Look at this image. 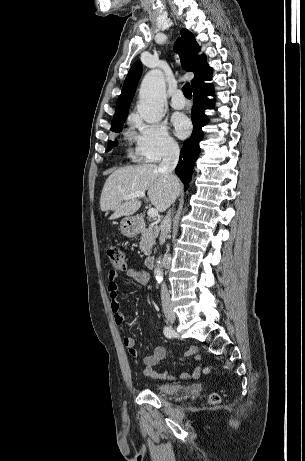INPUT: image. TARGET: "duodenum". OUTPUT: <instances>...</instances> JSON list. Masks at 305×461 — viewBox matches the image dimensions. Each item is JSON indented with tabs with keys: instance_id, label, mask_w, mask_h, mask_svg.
Wrapping results in <instances>:
<instances>
[{
	"instance_id": "obj_1",
	"label": "duodenum",
	"mask_w": 305,
	"mask_h": 461,
	"mask_svg": "<svg viewBox=\"0 0 305 461\" xmlns=\"http://www.w3.org/2000/svg\"><path fill=\"white\" fill-rule=\"evenodd\" d=\"M136 224H137L138 227H141L143 225V222H142V220L137 219ZM154 263H155V258L153 256H148V257L145 258V266H146V268L152 269L154 267Z\"/></svg>"
}]
</instances>
